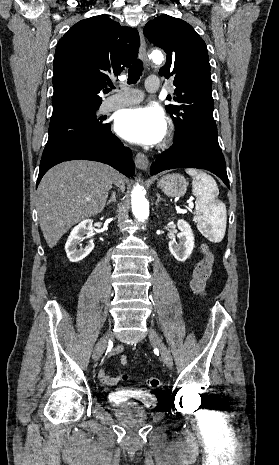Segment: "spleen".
Segmentation results:
<instances>
[{"label":"spleen","instance_id":"3e777b00","mask_svg":"<svg viewBox=\"0 0 279 465\" xmlns=\"http://www.w3.org/2000/svg\"><path fill=\"white\" fill-rule=\"evenodd\" d=\"M186 172L193 178L192 192L196 197L194 220L197 228L213 242H221L226 231L227 211L225 204L217 200L218 186L207 173L196 169H187Z\"/></svg>","mask_w":279,"mask_h":465}]
</instances>
